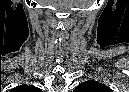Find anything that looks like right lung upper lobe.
<instances>
[{"mask_svg":"<svg viewBox=\"0 0 129 92\" xmlns=\"http://www.w3.org/2000/svg\"><path fill=\"white\" fill-rule=\"evenodd\" d=\"M19 89H26V90H31V91L37 90L38 91V88H35L34 86H26V85L19 87Z\"/></svg>","mask_w":129,"mask_h":92,"instance_id":"right-lung-upper-lobe-1","label":"right lung upper lobe"}]
</instances>
